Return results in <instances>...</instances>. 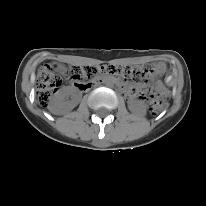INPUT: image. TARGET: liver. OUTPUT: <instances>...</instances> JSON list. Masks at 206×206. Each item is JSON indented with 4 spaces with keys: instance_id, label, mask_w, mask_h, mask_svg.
Wrapping results in <instances>:
<instances>
[{
    "instance_id": "1",
    "label": "liver",
    "mask_w": 206,
    "mask_h": 206,
    "mask_svg": "<svg viewBox=\"0 0 206 206\" xmlns=\"http://www.w3.org/2000/svg\"><path fill=\"white\" fill-rule=\"evenodd\" d=\"M51 110V109H50ZM52 111V110H51ZM54 114H62V112L59 111H52Z\"/></svg>"
}]
</instances>
